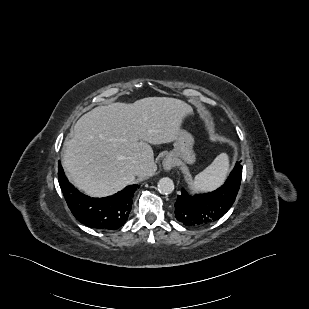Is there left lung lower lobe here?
Instances as JSON below:
<instances>
[{
  "instance_id": "0a47b994",
  "label": "left lung lower lobe",
  "mask_w": 309,
  "mask_h": 309,
  "mask_svg": "<svg viewBox=\"0 0 309 309\" xmlns=\"http://www.w3.org/2000/svg\"><path fill=\"white\" fill-rule=\"evenodd\" d=\"M242 178V166L236 163L224 185L202 195L182 191L175 203V217L186 226L200 227L220 219L233 205Z\"/></svg>"
}]
</instances>
